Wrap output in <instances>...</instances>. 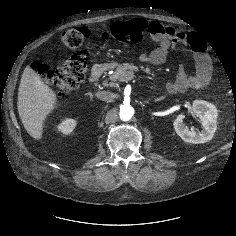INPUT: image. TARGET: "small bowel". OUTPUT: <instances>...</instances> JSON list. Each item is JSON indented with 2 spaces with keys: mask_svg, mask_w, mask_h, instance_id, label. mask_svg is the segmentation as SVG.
Segmentation results:
<instances>
[{
  "mask_svg": "<svg viewBox=\"0 0 236 236\" xmlns=\"http://www.w3.org/2000/svg\"><path fill=\"white\" fill-rule=\"evenodd\" d=\"M148 32L158 46L149 53H142L140 60L151 64H162L170 48L191 46L196 61V72L188 75L183 68L179 70L177 79L169 83L167 88L171 92H181L189 88H202L208 85L212 74V63L205 51L202 38L187 34L173 26L165 27L158 22L148 24Z\"/></svg>",
  "mask_w": 236,
  "mask_h": 236,
  "instance_id": "1",
  "label": "small bowel"
}]
</instances>
